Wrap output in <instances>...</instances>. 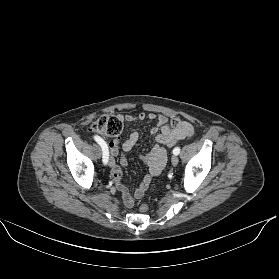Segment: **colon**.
Wrapping results in <instances>:
<instances>
[{"label": "colon", "instance_id": "5ec220e1", "mask_svg": "<svg viewBox=\"0 0 279 279\" xmlns=\"http://www.w3.org/2000/svg\"><path fill=\"white\" fill-rule=\"evenodd\" d=\"M122 129H123L122 121L120 120V118L116 116H106V115L100 116L91 125V130L93 132L102 134L109 138L119 137L122 132ZM179 141L180 139L178 138H174V137L170 138L167 141V146L173 147ZM147 209L148 207L145 204L141 205L140 207V210L142 212L147 211Z\"/></svg>", "mask_w": 279, "mask_h": 279}]
</instances>
